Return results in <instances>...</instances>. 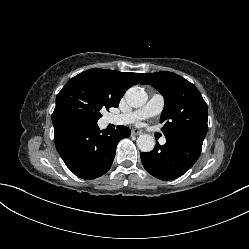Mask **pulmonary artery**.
<instances>
[{"label":"pulmonary artery","instance_id":"e3ab8cb5","mask_svg":"<svg viewBox=\"0 0 249 249\" xmlns=\"http://www.w3.org/2000/svg\"><path fill=\"white\" fill-rule=\"evenodd\" d=\"M164 107V98L160 94H154L149 101L140 109L121 115H110L108 122L116 125H125L137 120L148 118L159 114ZM166 143L165 138L160 139V144Z\"/></svg>","mask_w":249,"mask_h":249}]
</instances>
